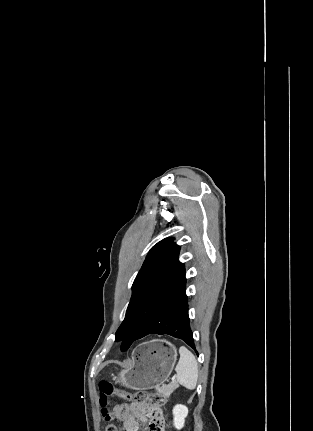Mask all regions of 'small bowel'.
<instances>
[{
  "instance_id": "1",
  "label": "small bowel",
  "mask_w": 313,
  "mask_h": 431,
  "mask_svg": "<svg viewBox=\"0 0 313 431\" xmlns=\"http://www.w3.org/2000/svg\"><path fill=\"white\" fill-rule=\"evenodd\" d=\"M115 417L123 424L125 431H139L141 425H151L154 418L145 405L141 404H121L116 405L113 409Z\"/></svg>"
}]
</instances>
